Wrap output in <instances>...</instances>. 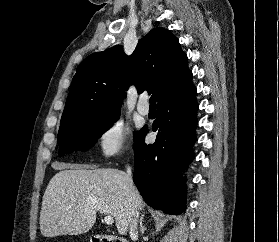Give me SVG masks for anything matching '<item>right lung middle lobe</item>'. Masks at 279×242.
I'll list each match as a JSON object with an SVG mask.
<instances>
[{
  "instance_id": "obj_1",
  "label": "right lung middle lobe",
  "mask_w": 279,
  "mask_h": 242,
  "mask_svg": "<svg viewBox=\"0 0 279 242\" xmlns=\"http://www.w3.org/2000/svg\"><path fill=\"white\" fill-rule=\"evenodd\" d=\"M118 115L91 118L74 124L60 126L58 132L59 156L73 151H87L96 140L117 121ZM137 133H135L136 135Z\"/></svg>"
}]
</instances>
